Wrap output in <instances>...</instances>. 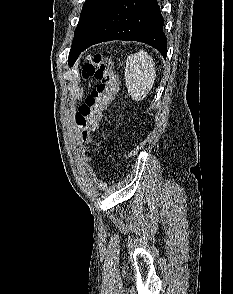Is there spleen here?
<instances>
[{
    "label": "spleen",
    "instance_id": "1",
    "mask_svg": "<svg viewBox=\"0 0 233 294\" xmlns=\"http://www.w3.org/2000/svg\"><path fill=\"white\" fill-rule=\"evenodd\" d=\"M155 79V64L146 51L141 50L127 57L125 81L128 92L135 102L138 103L147 96Z\"/></svg>",
    "mask_w": 233,
    "mask_h": 294
}]
</instances>
